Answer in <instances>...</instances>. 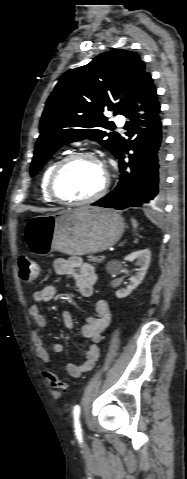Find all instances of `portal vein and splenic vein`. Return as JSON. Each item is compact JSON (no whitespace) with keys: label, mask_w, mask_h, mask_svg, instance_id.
Listing matches in <instances>:
<instances>
[{"label":"portal vein and splenic vein","mask_w":187,"mask_h":479,"mask_svg":"<svg viewBox=\"0 0 187 479\" xmlns=\"http://www.w3.org/2000/svg\"><path fill=\"white\" fill-rule=\"evenodd\" d=\"M101 258H102V259H105V256H102Z\"/></svg>","instance_id":"portal-vein-and-splenic-vein-1"}]
</instances>
